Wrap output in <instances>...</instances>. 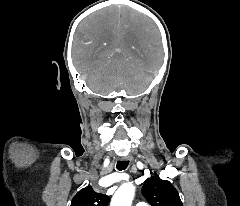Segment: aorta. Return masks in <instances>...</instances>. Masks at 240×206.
<instances>
[{
  "label": "aorta",
  "mask_w": 240,
  "mask_h": 206,
  "mask_svg": "<svg viewBox=\"0 0 240 206\" xmlns=\"http://www.w3.org/2000/svg\"><path fill=\"white\" fill-rule=\"evenodd\" d=\"M135 195V186L126 183L123 184L111 199L110 206H131Z\"/></svg>",
  "instance_id": "aorta-1"
}]
</instances>
